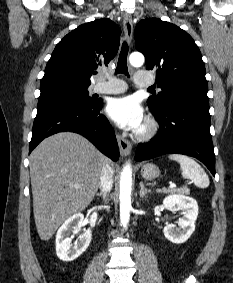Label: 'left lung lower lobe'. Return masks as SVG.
Segmentation results:
<instances>
[{
    "instance_id": "1",
    "label": "left lung lower lobe",
    "mask_w": 233,
    "mask_h": 283,
    "mask_svg": "<svg viewBox=\"0 0 233 283\" xmlns=\"http://www.w3.org/2000/svg\"><path fill=\"white\" fill-rule=\"evenodd\" d=\"M150 110L161 130L149 143L137 146L135 159L148 160L166 153L189 155L203 162L215 176L208 100H177L162 111Z\"/></svg>"
}]
</instances>
